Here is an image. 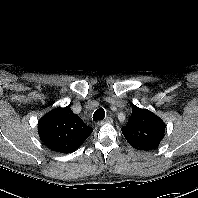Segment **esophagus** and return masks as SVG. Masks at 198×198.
<instances>
[{
    "instance_id": "1",
    "label": "esophagus",
    "mask_w": 198,
    "mask_h": 198,
    "mask_svg": "<svg viewBox=\"0 0 198 198\" xmlns=\"http://www.w3.org/2000/svg\"><path fill=\"white\" fill-rule=\"evenodd\" d=\"M113 122V119L111 117H107L105 120H100L97 122L99 126L104 125V124H110Z\"/></svg>"
}]
</instances>
